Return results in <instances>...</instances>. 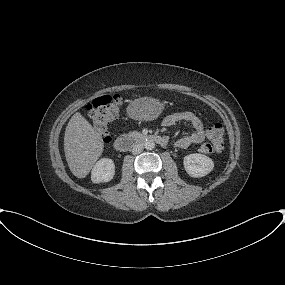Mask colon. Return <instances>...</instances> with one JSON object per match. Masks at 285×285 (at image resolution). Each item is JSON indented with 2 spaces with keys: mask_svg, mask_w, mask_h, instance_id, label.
Wrapping results in <instances>:
<instances>
[{
  "mask_svg": "<svg viewBox=\"0 0 285 285\" xmlns=\"http://www.w3.org/2000/svg\"><path fill=\"white\" fill-rule=\"evenodd\" d=\"M121 102V95H104L94 99L87 106L92 124L105 143H109L111 140L109 126L118 118ZM208 139L209 142L201 147L202 152L212 154L221 151L224 146L223 126L220 124L211 126L208 129Z\"/></svg>",
  "mask_w": 285,
  "mask_h": 285,
  "instance_id": "obj_1",
  "label": "colon"
}]
</instances>
